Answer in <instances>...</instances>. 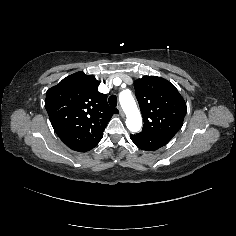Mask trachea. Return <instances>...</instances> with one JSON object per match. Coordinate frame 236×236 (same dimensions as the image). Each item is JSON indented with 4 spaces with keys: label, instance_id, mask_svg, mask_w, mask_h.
<instances>
[{
    "label": "trachea",
    "instance_id": "3493384b",
    "mask_svg": "<svg viewBox=\"0 0 236 236\" xmlns=\"http://www.w3.org/2000/svg\"><path fill=\"white\" fill-rule=\"evenodd\" d=\"M108 101L111 106H114V107L117 106V96L116 95H111L109 97Z\"/></svg>",
    "mask_w": 236,
    "mask_h": 236
}]
</instances>
